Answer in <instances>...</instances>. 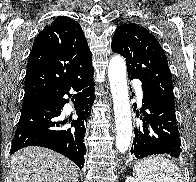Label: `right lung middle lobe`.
Segmentation results:
<instances>
[{
  "label": "right lung middle lobe",
  "mask_w": 196,
  "mask_h": 182,
  "mask_svg": "<svg viewBox=\"0 0 196 182\" xmlns=\"http://www.w3.org/2000/svg\"><path fill=\"white\" fill-rule=\"evenodd\" d=\"M30 107H31V106H27V107L22 106V110L28 109V108H30Z\"/></svg>",
  "instance_id": "1"
}]
</instances>
